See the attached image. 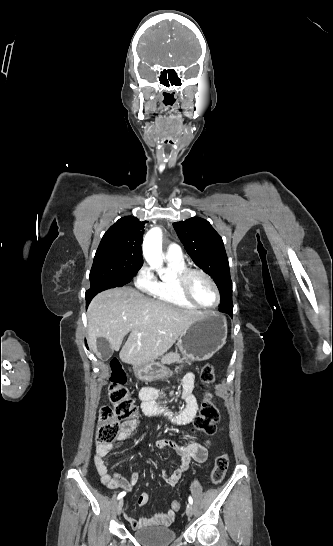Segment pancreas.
<instances>
[{
  "label": "pancreas",
  "instance_id": "1",
  "mask_svg": "<svg viewBox=\"0 0 333 546\" xmlns=\"http://www.w3.org/2000/svg\"><path fill=\"white\" fill-rule=\"evenodd\" d=\"M161 361L164 364H172V363H180L183 361V358L180 357L178 353L170 352L164 356H162Z\"/></svg>",
  "mask_w": 333,
  "mask_h": 546
}]
</instances>
